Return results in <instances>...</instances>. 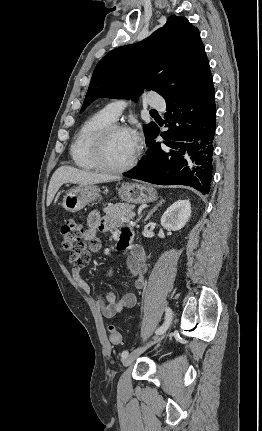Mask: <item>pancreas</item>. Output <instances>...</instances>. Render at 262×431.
<instances>
[{
    "label": "pancreas",
    "mask_w": 262,
    "mask_h": 431,
    "mask_svg": "<svg viewBox=\"0 0 262 431\" xmlns=\"http://www.w3.org/2000/svg\"><path fill=\"white\" fill-rule=\"evenodd\" d=\"M108 218H111L118 225H123L122 218L132 217L134 215L133 206L125 203H116L114 205L107 206L103 210Z\"/></svg>",
    "instance_id": "obj_1"
}]
</instances>
